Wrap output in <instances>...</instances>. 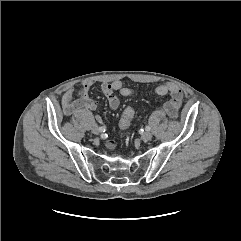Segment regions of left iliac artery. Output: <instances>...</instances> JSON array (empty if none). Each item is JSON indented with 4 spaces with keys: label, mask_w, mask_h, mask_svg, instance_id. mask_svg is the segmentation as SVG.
<instances>
[{
    "label": "left iliac artery",
    "mask_w": 241,
    "mask_h": 241,
    "mask_svg": "<svg viewBox=\"0 0 241 241\" xmlns=\"http://www.w3.org/2000/svg\"><path fill=\"white\" fill-rule=\"evenodd\" d=\"M150 129H151L150 126H146V127H145V130H146V131H150Z\"/></svg>",
    "instance_id": "left-iliac-artery-1"
}]
</instances>
